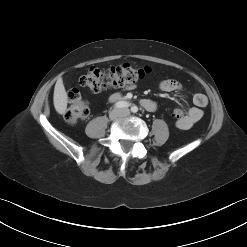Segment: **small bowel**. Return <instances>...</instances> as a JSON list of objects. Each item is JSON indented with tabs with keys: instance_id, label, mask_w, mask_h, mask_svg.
I'll return each instance as SVG.
<instances>
[{
	"instance_id": "small-bowel-1",
	"label": "small bowel",
	"mask_w": 247,
	"mask_h": 247,
	"mask_svg": "<svg viewBox=\"0 0 247 247\" xmlns=\"http://www.w3.org/2000/svg\"><path fill=\"white\" fill-rule=\"evenodd\" d=\"M133 88V86H129L128 89ZM159 89L163 92H174L179 91L182 89V85L180 82L168 79L163 80L159 83ZM115 97L112 96V99ZM208 99L206 95L202 93H197L193 96V104L194 106L191 107L188 112L183 115L181 118L177 119L176 126L179 129L187 130L190 129L195 123H197L203 116V108L207 105ZM142 106L148 111H154L157 109L156 102L144 99L141 102Z\"/></svg>"
}]
</instances>
